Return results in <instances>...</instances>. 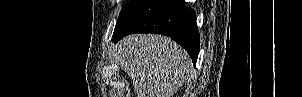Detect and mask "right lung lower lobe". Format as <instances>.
<instances>
[{
	"label": "right lung lower lobe",
	"mask_w": 302,
	"mask_h": 97,
	"mask_svg": "<svg viewBox=\"0 0 302 97\" xmlns=\"http://www.w3.org/2000/svg\"><path fill=\"white\" fill-rule=\"evenodd\" d=\"M132 33L169 36L188 52L196 64L200 50L196 13L185 6L184 0H146L114 31L113 40L117 42Z\"/></svg>",
	"instance_id": "1"
}]
</instances>
